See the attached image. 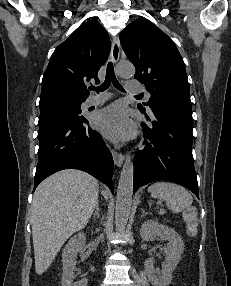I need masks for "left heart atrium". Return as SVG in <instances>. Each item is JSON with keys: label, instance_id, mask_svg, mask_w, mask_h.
I'll return each instance as SVG.
<instances>
[{"label": "left heart atrium", "instance_id": "obj_1", "mask_svg": "<svg viewBox=\"0 0 231 286\" xmlns=\"http://www.w3.org/2000/svg\"><path fill=\"white\" fill-rule=\"evenodd\" d=\"M94 124L105 137L113 141L131 137L134 129L127 109L121 103H114L100 110L95 115Z\"/></svg>", "mask_w": 231, "mask_h": 286}]
</instances>
